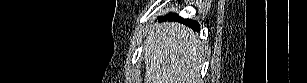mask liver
Segmentation results:
<instances>
[{"instance_id":"6515ba94","label":"liver","mask_w":307,"mask_h":83,"mask_svg":"<svg viewBox=\"0 0 307 83\" xmlns=\"http://www.w3.org/2000/svg\"><path fill=\"white\" fill-rule=\"evenodd\" d=\"M203 52V42L190 28L157 25L146 40L145 83H200Z\"/></svg>"}]
</instances>
